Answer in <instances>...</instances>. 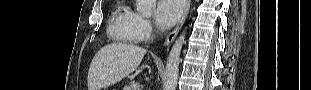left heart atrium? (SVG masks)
<instances>
[{
    "label": "left heart atrium",
    "instance_id": "obj_1",
    "mask_svg": "<svg viewBox=\"0 0 311 90\" xmlns=\"http://www.w3.org/2000/svg\"><path fill=\"white\" fill-rule=\"evenodd\" d=\"M183 11L182 0H161L157 3L155 9V18L157 25L161 29L172 27Z\"/></svg>",
    "mask_w": 311,
    "mask_h": 90
}]
</instances>
